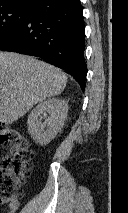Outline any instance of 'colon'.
Here are the masks:
<instances>
[{"label":"colon","instance_id":"obj_1","mask_svg":"<svg viewBox=\"0 0 128 213\" xmlns=\"http://www.w3.org/2000/svg\"><path fill=\"white\" fill-rule=\"evenodd\" d=\"M0 144L9 150L0 164V204H3L23 195L22 185L30 174L33 152L18 130L3 123H0Z\"/></svg>","mask_w":128,"mask_h":213}]
</instances>
